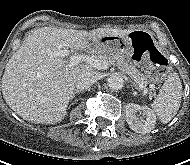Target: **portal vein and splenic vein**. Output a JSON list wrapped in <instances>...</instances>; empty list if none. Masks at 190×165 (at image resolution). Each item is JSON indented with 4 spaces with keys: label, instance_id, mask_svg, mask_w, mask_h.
Returning <instances> with one entry per match:
<instances>
[{
    "label": "portal vein and splenic vein",
    "instance_id": "18ae733b",
    "mask_svg": "<svg viewBox=\"0 0 190 165\" xmlns=\"http://www.w3.org/2000/svg\"><path fill=\"white\" fill-rule=\"evenodd\" d=\"M55 56H62V57H69V63L68 66H76L82 62H85L87 65L95 68V69H107L109 68V63L104 60H99L94 57L88 56V55H70L69 51L66 49L57 51L53 53ZM141 88H143V85H140Z\"/></svg>",
    "mask_w": 190,
    "mask_h": 165
}]
</instances>
